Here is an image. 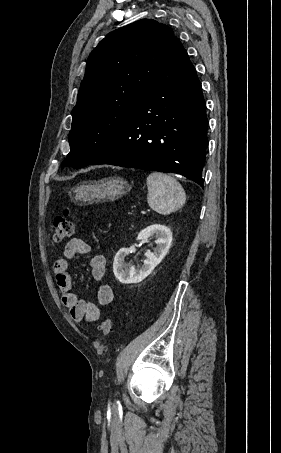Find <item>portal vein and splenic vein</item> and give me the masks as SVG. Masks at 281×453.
Returning a JSON list of instances; mask_svg holds the SVG:
<instances>
[{
  "label": "portal vein and splenic vein",
  "instance_id": "obj_1",
  "mask_svg": "<svg viewBox=\"0 0 281 453\" xmlns=\"http://www.w3.org/2000/svg\"><path fill=\"white\" fill-rule=\"evenodd\" d=\"M148 211L150 210L149 208L147 209ZM142 210L141 215H145L148 211ZM131 213L133 212L132 210L130 211ZM146 212V213H145Z\"/></svg>",
  "mask_w": 281,
  "mask_h": 453
}]
</instances>
